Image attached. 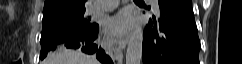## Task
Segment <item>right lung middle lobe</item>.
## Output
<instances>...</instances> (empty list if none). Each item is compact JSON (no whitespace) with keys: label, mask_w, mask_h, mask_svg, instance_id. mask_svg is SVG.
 <instances>
[{"label":"right lung middle lobe","mask_w":242,"mask_h":64,"mask_svg":"<svg viewBox=\"0 0 242 64\" xmlns=\"http://www.w3.org/2000/svg\"><path fill=\"white\" fill-rule=\"evenodd\" d=\"M97 27L85 14V6L43 13L41 52L54 44L90 34Z\"/></svg>","instance_id":"obj_1"}]
</instances>
